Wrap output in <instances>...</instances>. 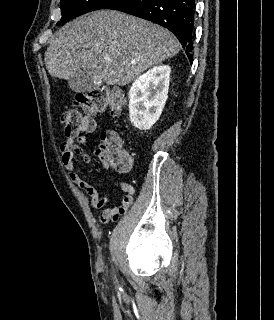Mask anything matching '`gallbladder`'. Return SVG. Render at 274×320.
Segmentation results:
<instances>
[{"label": "gallbladder", "mask_w": 274, "mask_h": 320, "mask_svg": "<svg viewBox=\"0 0 274 320\" xmlns=\"http://www.w3.org/2000/svg\"><path fill=\"white\" fill-rule=\"evenodd\" d=\"M96 68H72L71 77L74 80L69 82L74 92H87V90H99V85H104V78H96Z\"/></svg>", "instance_id": "1"}]
</instances>
